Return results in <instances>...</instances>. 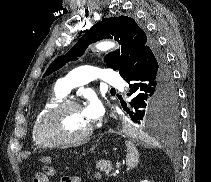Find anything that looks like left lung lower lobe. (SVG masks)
<instances>
[{
  "label": "left lung lower lobe",
  "instance_id": "left-lung-lower-lobe-1",
  "mask_svg": "<svg viewBox=\"0 0 211 182\" xmlns=\"http://www.w3.org/2000/svg\"><path fill=\"white\" fill-rule=\"evenodd\" d=\"M123 79L129 83L128 96L135 111L129 112L132 121L140 124L143 120L146 101L156 107L162 122L168 124L178 118V97L173 75L166 57L154 40H150L134 68ZM134 114V116H133Z\"/></svg>",
  "mask_w": 211,
  "mask_h": 182
}]
</instances>
